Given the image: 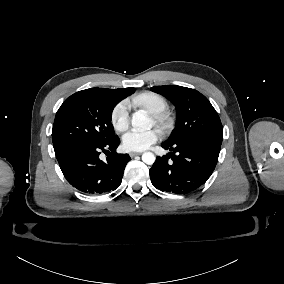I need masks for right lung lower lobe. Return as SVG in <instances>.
<instances>
[{
    "mask_svg": "<svg viewBox=\"0 0 284 284\" xmlns=\"http://www.w3.org/2000/svg\"><path fill=\"white\" fill-rule=\"evenodd\" d=\"M118 136L105 143H79L55 151L67 181L86 194H104L121 184L128 154H118ZM110 150L111 153L108 151ZM101 151L109 153L106 161L99 158Z\"/></svg>",
    "mask_w": 284,
    "mask_h": 284,
    "instance_id": "1",
    "label": "right lung lower lobe"
}]
</instances>
